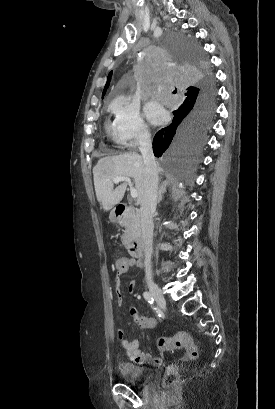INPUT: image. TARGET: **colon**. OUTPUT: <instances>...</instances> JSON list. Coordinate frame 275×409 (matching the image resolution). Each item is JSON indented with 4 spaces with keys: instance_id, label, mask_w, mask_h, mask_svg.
<instances>
[{
    "instance_id": "1",
    "label": "colon",
    "mask_w": 275,
    "mask_h": 409,
    "mask_svg": "<svg viewBox=\"0 0 275 409\" xmlns=\"http://www.w3.org/2000/svg\"><path fill=\"white\" fill-rule=\"evenodd\" d=\"M114 263L117 266V271L119 274H124L127 269V262L124 256H116L114 258ZM158 348L162 352H167L173 349H184L185 355L188 359H196L198 356V351L196 344L193 339L186 331H178L171 337H165L163 340L158 341ZM178 377V367L177 365L168 366L165 376L163 378V383L165 385L173 384Z\"/></svg>"
}]
</instances>
